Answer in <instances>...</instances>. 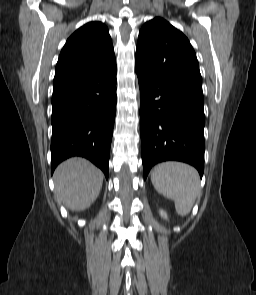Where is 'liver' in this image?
<instances>
[{"label": "liver", "instance_id": "obj_1", "mask_svg": "<svg viewBox=\"0 0 256 295\" xmlns=\"http://www.w3.org/2000/svg\"><path fill=\"white\" fill-rule=\"evenodd\" d=\"M103 178L101 170L88 160L70 158L54 172L55 198L70 210H85L99 196Z\"/></svg>", "mask_w": 256, "mask_h": 295}]
</instances>
